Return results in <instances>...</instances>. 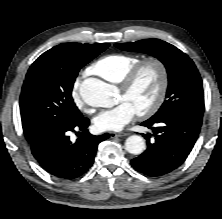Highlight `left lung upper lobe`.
I'll list each match as a JSON object with an SVG mask.
<instances>
[{
    "instance_id": "5c2ea615",
    "label": "left lung upper lobe",
    "mask_w": 222,
    "mask_h": 219,
    "mask_svg": "<svg viewBox=\"0 0 222 219\" xmlns=\"http://www.w3.org/2000/svg\"><path fill=\"white\" fill-rule=\"evenodd\" d=\"M115 46L125 51L150 54L158 58L167 69V99L150 119L181 113L202 120L204 111L202 79L195 64L185 53L160 39H144Z\"/></svg>"
}]
</instances>
